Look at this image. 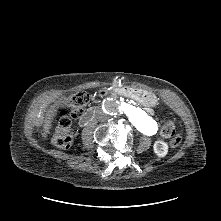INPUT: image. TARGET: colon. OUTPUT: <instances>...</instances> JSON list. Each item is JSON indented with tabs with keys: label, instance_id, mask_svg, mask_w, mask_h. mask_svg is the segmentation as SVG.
<instances>
[{
	"label": "colon",
	"instance_id": "colon-1",
	"mask_svg": "<svg viewBox=\"0 0 221 221\" xmlns=\"http://www.w3.org/2000/svg\"><path fill=\"white\" fill-rule=\"evenodd\" d=\"M90 96L86 92H78L68 97L66 103L69 107V112L62 111L60 113L59 123L53 135V143L62 149H67L74 142V130L71 119L79 116L84 107L89 103ZM160 134L164 138L170 139V146L177 147L182 142L181 134L176 130L172 122H166Z\"/></svg>",
	"mask_w": 221,
	"mask_h": 221
}]
</instances>
